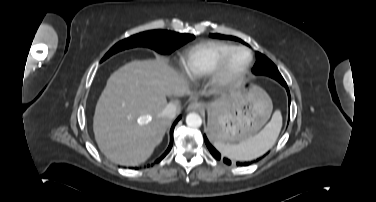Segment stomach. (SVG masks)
<instances>
[{
	"instance_id": "obj_1",
	"label": "stomach",
	"mask_w": 376,
	"mask_h": 202,
	"mask_svg": "<svg viewBox=\"0 0 376 202\" xmlns=\"http://www.w3.org/2000/svg\"><path fill=\"white\" fill-rule=\"evenodd\" d=\"M206 107L210 138L227 144H238L255 136L272 112L269 96L259 87L235 86L227 96Z\"/></svg>"
}]
</instances>
